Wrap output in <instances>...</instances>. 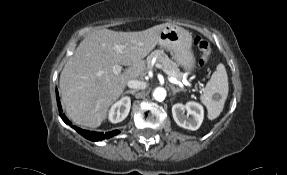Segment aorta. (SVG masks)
Returning a JSON list of instances; mask_svg holds the SVG:
<instances>
[{"label":"aorta","instance_id":"762f6f07","mask_svg":"<svg viewBox=\"0 0 287 175\" xmlns=\"http://www.w3.org/2000/svg\"><path fill=\"white\" fill-rule=\"evenodd\" d=\"M166 95H167V92L163 87H157L153 91V97L157 101H163L165 99Z\"/></svg>","mask_w":287,"mask_h":175}]
</instances>
